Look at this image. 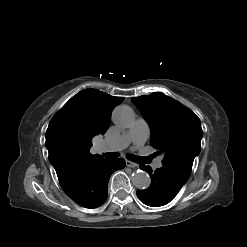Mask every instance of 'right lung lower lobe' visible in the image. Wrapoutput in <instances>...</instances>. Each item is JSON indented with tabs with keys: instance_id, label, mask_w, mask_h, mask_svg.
<instances>
[{
	"instance_id": "obj_1",
	"label": "right lung lower lobe",
	"mask_w": 247,
	"mask_h": 247,
	"mask_svg": "<svg viewBox=\"0 0 247 247\" xmlns=\"http://www.w3.org/2000/svg\"><path fill=\"white\" fill-rule=\"evenodd\" d=\"M124 167L122 158L102 159L91 166L67 172L59 177V182L73 201L86 208H96L107 198L111 174Z\"/></svg>"
}]
</instances>
